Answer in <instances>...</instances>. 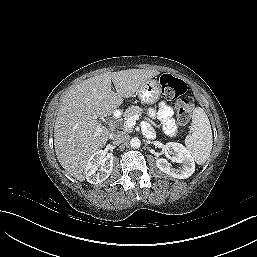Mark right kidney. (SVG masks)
Wrapping results in <instances>:
<instances>
[{
    "instance_id": "1",
    "label": "right kidney",
    "mask_w": 257,
    "mask_h": 257,
    "mask_svg": "<svg viewBox=\"0 0 257 257\" xmlns=\"http://www.w3.org/2000/svg\"><path fill=\"white\" fill-rule=\"evenodd\" d=\"M113 163L114 156L112 153L106 154L103 150H97L86 164V180L91 184L105 181L112 173Z\"/></svg>"
}]
</instances>
